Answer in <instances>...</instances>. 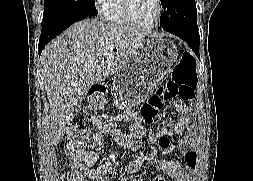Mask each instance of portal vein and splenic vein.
<instances>
[{
	"label": "portal vein and splenic vein",
	"mask_w": 253,
	"mask_h": 181,
	"mask_svg": "<svg viewBox=\"0 0 253 181\" xmlns=\"http://www.w3.org/2000/svg\"><path fill=\"white\" fill-rule=\"evenodd\" d=\"M114 55H115V54H114L113 52H108V53H106V56H107V58H109V59L113 58Z\"/></svg>",
	"instance_id": "obj_1"
}]
</instances>
